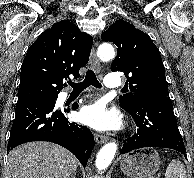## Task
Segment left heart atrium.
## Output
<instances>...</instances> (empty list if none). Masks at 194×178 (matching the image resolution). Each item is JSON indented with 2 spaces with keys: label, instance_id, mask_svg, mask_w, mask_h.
Returning a JSON list of instances; mask_svg holds the SVG:
<instances>
[{
  "label": "left heart atrium",
  "instance_id": "obj_1",
  "mask_svg": "<svg viewBox=\"0 0 194 178\" xmlns=\"http://www.w3.org/2000/svg\"><path fill=\"white\" fill-rule=\"evenodd\" d=\"M79 118L82 123L98 131L117 129L121 125L119 114L115 110H108L101 102L82 108Z\"/></svg>",
  "mask_w": 194,
  "mask_h": 178
}]
</instances>
